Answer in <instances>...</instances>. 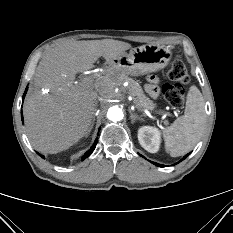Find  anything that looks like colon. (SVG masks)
Listing matches in <instances>:
<instances>
[{"label":"colon","mask_w":233,"mask_h":233,"mask_svg":"<svg viewBox=\"0 0 233 233\" xmlns=\"http://www.w3.org/2000/svg\"><path fill=\"white\" fill-rule=\"evenodd\" d=\"M167 77L172 83H166L162 87L165 100L172 106H180L184 101L185 85L190 77L184 63L180 60L172 62L167 70Z\"/></svg>","instance_id":"obj_1"}]
</instances>
